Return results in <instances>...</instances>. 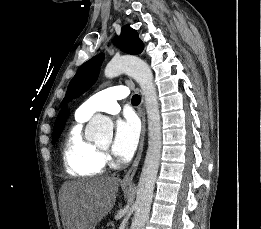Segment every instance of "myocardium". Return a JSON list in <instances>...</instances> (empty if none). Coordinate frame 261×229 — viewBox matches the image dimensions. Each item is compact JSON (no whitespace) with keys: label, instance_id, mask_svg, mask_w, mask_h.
<instances>
[{"label":"myocardium","instance_id":"obj_1","mask_svg":"<svg viewBox=\"0 0 261 229\" xmlns=\"http://www.w3.org/2000/svg\"><path fill=\"white\" fill-rule=\"evenodd\" d=\"M100 148H101V149H104V150H106V149H107V147H106V146H100Z\"/></svg>","mask_w":261,"mask_h":229}]
</instances>
